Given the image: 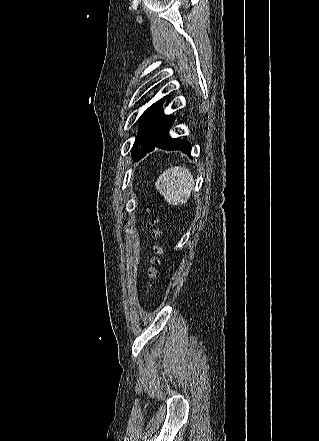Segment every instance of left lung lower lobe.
<instances>
[{
  "label": "left lung lower lobe",
  "mask_w": 319,
  "mask_h": 441,
  "mask_svg": "<svg viewBox=\"0 0 319 441\" xmlns=\"http://www.w3.org/2000/svg\"><path fill=\"white\" fill-rule=\"evenodd\" d=\"M174 122V118L171 117L160 129L159 131L154 135L152 138L148 148L145 150V152L142 154L141 158L144 157V155L148 152H151L154 150L155 147H158L160 149L164 150H179L183 153L190 154V143L186 140L181 139H174L171 138L168 134L172 124ZM140 158V159H141Z\"/></svg>",
  "instance_id": "1"
}]
</instances>
